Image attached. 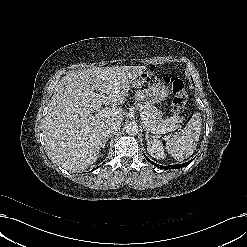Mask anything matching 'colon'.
<instances>
[{
	"label": "colon",
	"mask_w": 247,
	"mask_h": 247,
	"mask_svg": "<svg viewBox=\"0 0 247 247\" xmlns=\"http://www.w3.org/2000/svg\"><path fill=\"white\" fill-rule=\"evenodd\" d=\"M173 93L171 110L174 114H179L185 107L187 102V92L184 82L178 77H166L164 79Z\"/></svg>",
	"instance_id": "obj_1"
}]
</instances>
